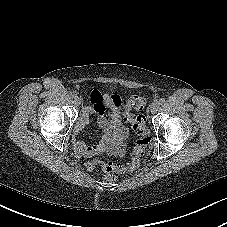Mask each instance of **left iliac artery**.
I'll return each mask as SVG.
<instances>
[{"label":"left iliac artery","instance_id":"44dca946","mask_svg":"<svg viewBox=\"0 0 227 227\" xmlns=\"http://www.w3.org/2000/svg\"><path fill=\"white\" fill-rule=\"evenodd\" d=\"M158 103L159 105H163L165 103V99L164 98L159 99Z\"/></svg>","mask_w":227,"mask_h":227}]
</instances>
